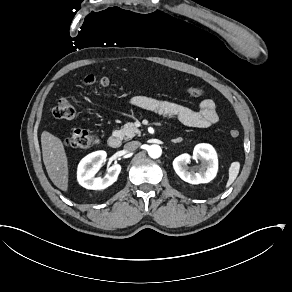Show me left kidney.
<instances>
[{
	"mask_svg": "<svg viewBox=\"0 0 292 292\" xmlns=\"http://www.w3.org/2000/svg\"><path fill=\"white\" fill-rule=\"evenodd\" d=\"M191 156L182 154L173 161V168L178 176L191 184L208 183L216 177L218 171L217 153L212 145L197 144L193 151V158L202 160V167L198 173L189 171L187 164L190 163Z\"/></svg>",
	"mask_w": 292,
	"mask_h": 292,
	"instance_id": "5707ae66",
	"label": "left kidney"
}]
</instances>
